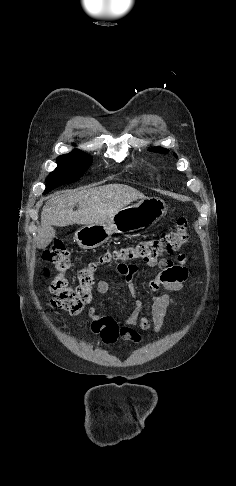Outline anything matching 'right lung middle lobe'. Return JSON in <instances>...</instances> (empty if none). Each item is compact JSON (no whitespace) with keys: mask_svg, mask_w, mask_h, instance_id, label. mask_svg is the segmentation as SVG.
<instances>
[{"mask_svg":"<svg viewBox=\"0 0 236 486\" xmlns=\"http://www.w3.org/2000/svg\"><path fill=\"white\" fill-rule=\"evenodd\" d=\"M91 161L92 157L80 150H73L68 154L59 156L57 158V168L49 174L43 194L60 185L79 180L90 166Z\"/></svg>","mask_w":236,"mask_h":486,"instance_id":"1","label":"right lung middle lobe"}]
</instances>
